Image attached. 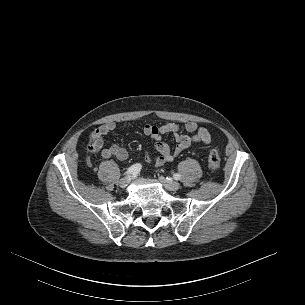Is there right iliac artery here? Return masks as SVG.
<instances>
[{
    "label": "right iliac artery",
    "instance_id": "1",
    "mask_svg": "<svg viewBox=\"0 0 305 305\" xmlns=\"http://www.w3.org/2000/svg\"><path fill=\"white\" fill-rule=\"evenodd\" d=\"M141 168L142 166L140 164H134L128 168V170L125 172V175H137Z\"/></svg>",
    "mask_w": 305,
    "mask_h": 305
}]
</instances>
